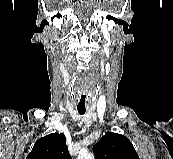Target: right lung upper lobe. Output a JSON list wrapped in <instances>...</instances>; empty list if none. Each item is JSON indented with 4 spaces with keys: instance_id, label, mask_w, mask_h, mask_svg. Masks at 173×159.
<instances>
[{
    "instance_id": "cb5924a9",
    "label": "right lung upper lobe",
    "mask_w": 173,
    "mask_h": 159,
    "mask_svg": "<svg viewBox=\"0 0 173 159\" xmlns=\"http://www.w3.org/2000/svg\"><path fill=\"white\" fill-rule=\"evenodd\" d=\"M26 159H71L65 136L52 133L40 138Z\"/></svg>"
}]
</instances>
